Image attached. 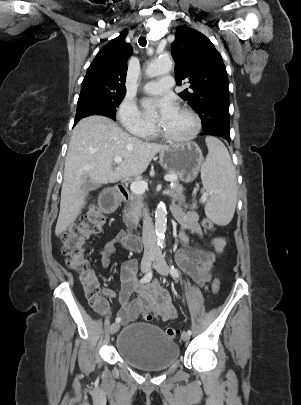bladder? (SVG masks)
I'll list each match as a JSON object with an SVG mask.
<instances>
[{
    "label": "bladder",
    "instance_id": "bladder-1",
    "mask_svg": "<svg viewBox=\"0 0 301 405\" xmlns=\"http://www.w3.org/2000/svg\"><path fill=\"white\" fill-rule=\"evenodd\" d=\"M115 348L124 361L144 371L164 370L179 357L178 344L161 328L145 322L125 326Z\"/></svg>",
    "mask_w": 301,
    "mask_h": 405
}]
</instances>
